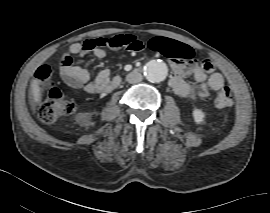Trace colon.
<instances>
[{"label": "colon", "instance_id": "5ec220e1", "mask_svg": "<svg viewBox=\"0 0 270 213\" xmlns=\"http://www.w3.org/2000/svg\"><path fill=\"white\" fill-rule=\"evenodd\" d=\"M132 43L139 40L134 36H129ZM154 47L161 52L163 56H169L178 52L179 45L170 41L151 40ZM140 44V42H139ZM61 65L67 66L72 64L71 59H65L60 62ZM202 67L209 71L212 66L208 59L202 60ZM37 90L40 94L38 104V116L45 123H52L63 116L71 114L75 109L72 100L65 97L62 90L57 87L52 78V70L49 65L44 64L38 68L35 74ZM232 90L230 86L221 88L214 97V105L217 108H226L231 105Z\"/></svg>", "mask_w": 270, "mask_h": 213}]
</instances>
